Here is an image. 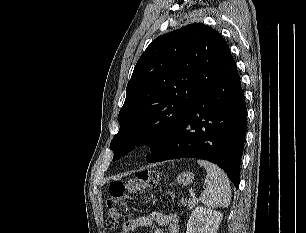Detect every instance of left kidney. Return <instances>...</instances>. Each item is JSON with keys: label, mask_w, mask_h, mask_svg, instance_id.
<instances>
[{"label": "left kidney", "mask_w": 306, "mask_h": 233, "mask_svg": "<svg viewBox=\"0 0 306 233\" xmlns=\"http://www.w3.org/2000/svg\"><path fill=\"white\" fill-rule=\"evenodd\" d=\"M222 217L221 212L198 206L189 217L186 233H216Z\"/></svg>", "instance_id": "obj_1"}]
</instances>
